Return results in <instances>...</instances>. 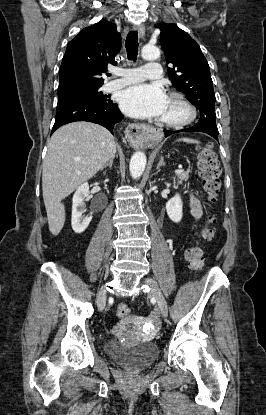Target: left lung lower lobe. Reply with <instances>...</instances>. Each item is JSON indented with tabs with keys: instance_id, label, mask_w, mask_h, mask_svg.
<instances>
[{
	"instance_id": "obj_1",
	"label": "left lung lower lobe",
	"mask_w": 266,
	"mask_h": 415,
	"mask_svg": "<svg viewBox=\"0 0 266 415\" xmlns=\"http://www.w3.org/2000/svg\"><path fill=\"white\" fill-rule=\"evenodd\" d=\"M190 131H194V130L190 127V128H187V129H182V130H177V131L164 130V133H165V137H168V136H170L174 133H177V132H190ZM212 137H214L218 141V136H212Z\"/></svg>"
}]
</instances>
